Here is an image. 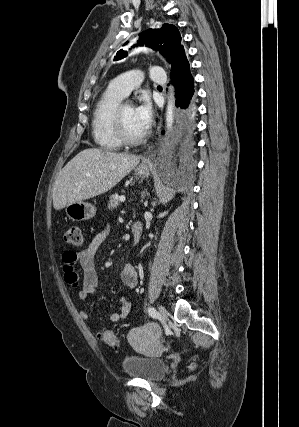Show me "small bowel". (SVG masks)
Returning a JSON list of instances; mask_svg holds the SVG:
<instances>
[{
    "mask_svg": "<svg viewBox=\"0 0 299 427\" xmlns=\"http://www.w3.org/2000/svg\"><path fill=\"white\" fill-rule=\"evenodd\" d=\"M108 229L104 228L98 233L92 235L85 246L78 252L68 251L62 255L64 279L72 287L82 285L77 294V300L85 303L89 297L95 293L97 285V266L96 254L106 239ZM82 269V277L77 272V267ZM120 280L129 288L133 289L137 285L138 275L133 265L126 264L120 272ZM121 308L117 313L110 314L107 320L110 322H119L125 319L131 311L132 302L127 296L120 299ZM80 316L85 320H102L103 316L95 315L86 309L79 311Z\"/></svg>",
    "mask_w": 299,
    "mask_h": 427,
    "instance_id": "small-bowel-1",
    "label": "small bowel"
}]
</instances>
